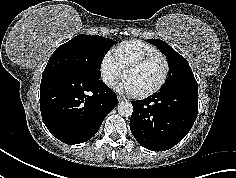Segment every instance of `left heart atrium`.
Segmentation results:
<instances>
[{
  "label": "left heart atrium",
  "mask_w": 236,
  "mask_h": 178,
  "mask_svg": "<svg viewBox=\"0 0 236 178\" xmlns=\"http://www.w3.org/2000/svg\"><path fill=\"white\" fill-rule=\"evenodd\" d=\"M118 90L121 92H125L128 94H135L134 89L132 88V86L126 81L124 80L119 86H118Z\"/></svg>",
  "instance_id": "1"
}]
</instances>
